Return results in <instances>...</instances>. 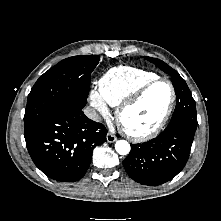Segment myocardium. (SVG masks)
<instances>
[{
	"instance_id": "myocardium-1",
	"label": "myocardium",
	"mask_w": 221,
	"mask_h": 221,
	"mask_svg": "<svg viewBox=\"0 0 221 221\" xmlns=\"http://www.w3.org/2000/svg\"><path fill=\"white\" fill-rule=\"evenodd\" d=\"M161 82L167 83L171 89V98H170L168 107H167L164 115L162 116V118L159 120V122L152 129H150L148 131L137 132V131H133V130L129 129L125 125L124 120H123L124 113L128 109H130L133 106H135L136 104H138L142 100V98L144 97L146 92L151 87H153L154 85L161 83ZM175 102H176V90H175L173 83L167 78L156 77V78L146 82L142 86H140L134 93H132L128 98H126L124 101H122L118 105V108L116 110V120H117L119 126L121 127V129L123 130V132L131 140L144 141V140H147V139H150V138L156 136L164 128V126L168 122V120L173 112Z\"/></svg>"
}]
</instances>
